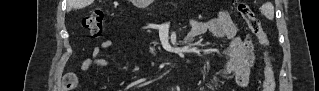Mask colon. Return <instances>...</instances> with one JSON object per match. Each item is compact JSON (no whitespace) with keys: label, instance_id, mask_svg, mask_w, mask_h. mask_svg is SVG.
I'll list each match as a JSON object with an SVG mask.
<instances>
[{"label":"colon","instance_id":"1","mask_svg":"<svg viewBox=\"0 0 319 91\" xmlns=\"http://www.w3.org/2000/svg\"><path fill=\"white\" fill-rule=\"evenodd\" d=\"M237 10L242 18L247 23L250 32L256 36L259 43L263 46L268 45V38L261 27L259 19L254 15V12L250 6L245 2L237 3ZM104 12L102 10H92L86 14L82 20V27L90 33L91 36L98 37L102 34L104 29ZM264 80L262 85V91H274L275 89V75L273 68L268 58L265 60V66L263 70Z\"/></svg>","mask_w":319,"mask_h":91}]
</instances>
